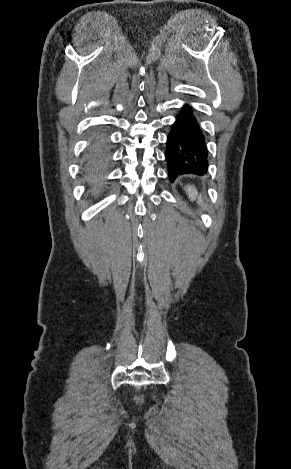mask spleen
<instances>
[{"label":"spleen","instance_id":"spleen-1","mask_svg":"<svg viewBox=\"0 0 291 469\" xmlns=\"http://www.w3.org/2000/svg\"><path fill=\"white\" fill-rule=\"evenodd\" d=\"M186 192H187L189 198H190L192 201H194V200L197 199V203H198L199 205L203 204L202 197H201V196H198V192H197V190L195 189L194 186H187V187H186Z\"/></svg>","mask_w":291,"mask_h":469}]
</instances>
